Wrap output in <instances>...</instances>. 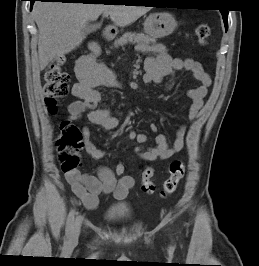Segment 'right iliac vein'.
<instances>
[{
  "instance_id": "right-iliac-vein-1",
  "label": "right iliac vein",
  "mask_w": 259,
  "mask_h": 266,
  "mask_svg": "<svg viewBox=\"0 0 259 266\" xmlns=\"http://www.w3.org/2000/svg\"><path fill=\"white\" fill-rule=\"evenodd\" d=\"M81 224H82L81 218L77 217L75 222H74L72 232H71V237H70V241L72 243L76 242L79 238L80 230H81Z\"/></svg>"
}]
</instances>
